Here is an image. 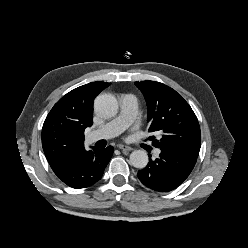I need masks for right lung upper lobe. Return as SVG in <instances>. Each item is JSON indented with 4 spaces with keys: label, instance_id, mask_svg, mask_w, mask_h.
I'll return each mask as SVG.
<instances>
[{
    "label": "right lung upper lobe",
    "instance_id": "obj_1",
    "mask_svg": "<svg viewBox=\"0 0 248 248\" xmlns=\"http://www.w3.org/2000/svg\"><path fill=\"white\" fill-rule=\"evenodd\" d=\"M110 83L92 82L64 95L47 115L42 128V147L57 175L85 150L84 130L92 125L95 97Z\"/></svg>",
    "mask_w": 248,
    "mask_h": 248
}]
</instances>
